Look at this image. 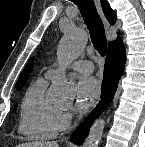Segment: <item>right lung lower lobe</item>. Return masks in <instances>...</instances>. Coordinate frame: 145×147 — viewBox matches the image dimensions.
<instances>
[{
	"mask_svg": "<svg viewBox=\"0 0 145 147\" xmlns=\"http://www.w3.org/2000/svg\"><path fill=\"white\" fill-rule=\"evenodd\" d=\"M125 58V47L121 38L110 42L102 82V101L98 104L92 114H90V116L84 121L83 125L74 131L71 139L76 145L81 144L85 140L92 121L98 117L112 101L118 86V81L124 71Z\"/></svg>",
	"mask_w": 145,
	"mask_h": 147,
	"instance_id": "obj_1",
	"label": "right lung lower lobe"
}]
</instances>
